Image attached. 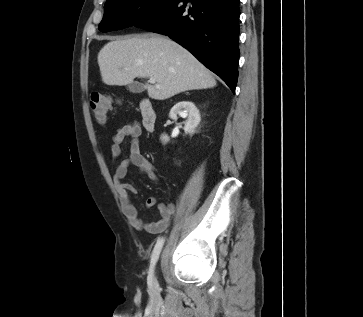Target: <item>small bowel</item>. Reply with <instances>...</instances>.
I'll return each mask as SVG.
<instances>
[{"label":"small bowel","mask_w":363,"mask_h":317,"mask_svg":"<svg viewBox=\"0 0 363 317\" xmlns=\"http://www.w3.org/2000/svg\"><path fill=\"white\" fill-rule=\"evenodd\" d=\"M142 126L136 122L127 123L121 126L112 138L111 153L116 157L121 152V146L127 137L131 138L128 156L117 166L114 173V181L117 184L120 201L124 214L129 223L137 229H143L150 233H160L167 229L172 217L176 212L174 204H160L158 206L160 218L156 222L146 223L140 217L137 208L131 202V194L137 192L135 186L130 183L121 181L127 175L130 166H136L140 171L145 173L151 180L157 181L158 175L155 167L142 154L140 150V138L142 136ZM157 204L154 196L146 200L147 207H153Z\"/></svg>","instance_id":"1"}]
</instances>
